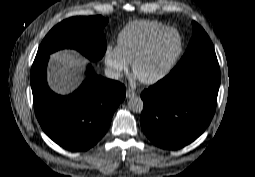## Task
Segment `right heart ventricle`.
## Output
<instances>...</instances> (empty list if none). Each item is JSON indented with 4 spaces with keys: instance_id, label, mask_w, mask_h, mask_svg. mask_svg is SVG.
<instances>
[{
    "instance_id": "1",
    "label": "right heart ventricle",
    "mask_w": 255,
    "mask_h": 177,
    "mask_svg": "<svg viewBox=\"0 0 255 177\" xmlns=\"http://www.w3.org/2000/svg\"><path fill=\"white\" fill-rule=\"evenodd\" d=\"M167 26L150 20L129 22L118 35V46L129 63H131L148 40Z\"/></svg>"
}]
</instances>
